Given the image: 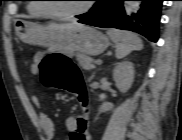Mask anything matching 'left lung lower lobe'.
Segmentation results:
<instances>
[{
    "instance_id": "obj_1",
    "label": "left lung lower lobe",
    "mask_w": 182,
    "mask_h": 140,
    "mask_svg": "<svg viewBox=\"0 0 182 140\" xmlns=\"http://www.w3.org/2000/svg\"><path fill=\"white\" fill-rule=\"evenodd\" d=\"M125 0H100L94 10L79 22L102 28H118L137 32L152 42L158 39L162 0H142L141 9L132 17L125 14Z\"/></svg>"
}]
</instances>
